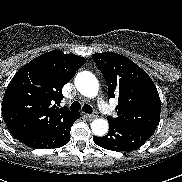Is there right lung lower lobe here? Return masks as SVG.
I'll return each instance as SVG.
<instances>
[{"label":"right lung lower lobe","instance_id":"right-lung-lower-lobe-1","mask_svg":"<svg viewBox=\"0 0 182 182\" xmlns=\"http://www.w3.org/2000/svg\"><path fill=\"white\" fill-rule=\"evenodd\" d=\"M80 117L77 113L74 117L61 122L51 128L32 133L18 139L23 144L33 148H58L70 141V130L73 123Z\"/></svg>","mask_w":182,"mask_h":182}]
</instances>
